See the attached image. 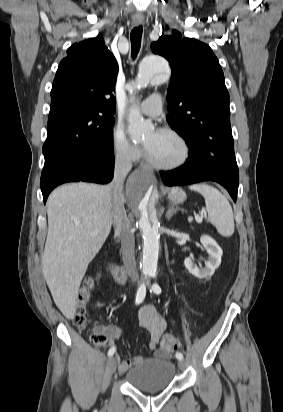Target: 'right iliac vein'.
Listing matches in <instances>:
<instances>
[{
	"mask_svg": "<svg viewBox=\"0 0 283 412\" xmlns=\"http://www.w3.org/2000/svg\"><path fill=\"white\" fill-rule=\"evenodd\" d=\"M117 362L114 357H110L107 361L106 372L108 375H112L116 370Z\"/></svg>",
	"mask_w": 283,
	"mask_h": 412,
	"instance_id": "obj_1",
	"label": "right iliac vein"
}]
</instances>
